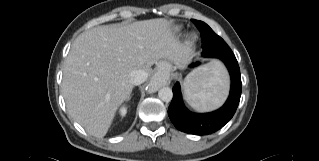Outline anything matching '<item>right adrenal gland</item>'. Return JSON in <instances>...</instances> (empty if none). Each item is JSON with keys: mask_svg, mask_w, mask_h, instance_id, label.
I'll list each match as a JSON object with an SVG mask.
<instances>
[{"mask_svg": "<svg viewBox=\"0 0 319 161\" xmlns=\"http://www.w3.org/2000/svg\"><path fill=\"white\" fill-rule=\"evenodd\" d=\"M130 98H131V93L129 94V96H128L127 100H130Z\"/></svg>", "mask_w": 319, "mask_h": 161, "instance_id": "obj_1", "label": "right adrenal gland"}]
</instances>
